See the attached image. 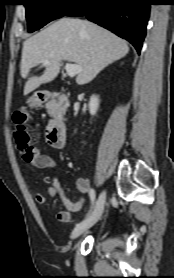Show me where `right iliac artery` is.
I'll return each instance as SVG.
<instances>
[{
    "label": "right iliac artery",
    "instance_id": "1",
    "mask_svg": "<svg viewBox=\"0 0 174 278\" xmlns=\"http://www.w3.org/2000/svg\"><path fill=\"white\" fill-rule=\"evenodd\" d=\"M89 196H90L91 203H92V206H93V205H94V202H95V198H96V194H95L94 189H90V191H89ZM91 208H92V207H91Z\"/></svg>",
    "mask_w": 174,
    "mask_h": 278
}]
</instances>
